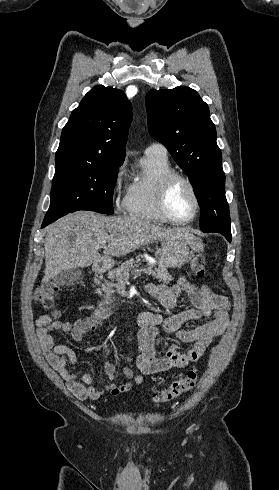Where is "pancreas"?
<instances>
[{"instance_id": "pancreas-1", "label": "pancreas", "mask_w": 279, "mask_h": 490, "mask_svg": "<svg viewBox=\"0 0 279 490\" xmlns=\"http://www.w3.org/2000/svg\"><path fill=\"white\" fill-rule=\"evenodd\" d=\"M138 264L135 260H129V262H124L121 264L117 270L114 272H110L109 280L112 278H129L130 274H134V268H137ZM143 274H148V276H154L155 280H159V282H163V284H170L171 280H173L172 276H169L167 268L163 266V264H159L158 268H155V264H148V268L142 270ZM100 288H97L96 294L99 296H112L113 294V282H108V280H104V284H100V282H96Z\"/></svg>"}]
</instances>
